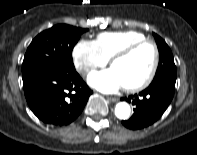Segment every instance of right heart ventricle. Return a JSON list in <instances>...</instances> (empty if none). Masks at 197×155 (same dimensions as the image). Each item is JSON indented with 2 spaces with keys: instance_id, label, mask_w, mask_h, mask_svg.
<instances>
[{
  "instance_id": "1",
  "label": "right heart ventricle",
  "mask_w": 197,
  "mask_h": 155,
  "mask_svg": "<svg viewBox=\"0 0 197 155\" xmlns=\"http://www.w3.org/2000/svg\"><path fill=\"white\" fill-rule=\"evenodd\" d=\"M146 39L145 35L134 30L106 31L97 35L95 42L102 53L110 59L124 46Z\"/></svg>"
}]
</instances>
